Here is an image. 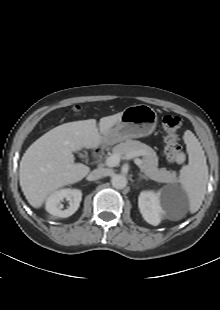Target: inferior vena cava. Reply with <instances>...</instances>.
I'll return each mask as SVG.
<instances>
[{
    "mask_svg": "<svg viewBox=\"0 0 220 310\" xmlns=\"http://www.w3.org/2000/svg\"><path fill=\"white\" fill-rule=\"evenodd\" d=\"M106 175V170L102 168H98L93 170L89 175H88V180L90 181H95L98 180Z\"/></svg>",
    "mask_w": 220,
    "mask_h": 310,
    "instance_id": "inferior-vena-cava-1",
    "label": "inferior vena cava"
}]
</instances>
